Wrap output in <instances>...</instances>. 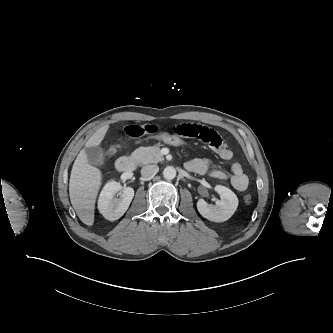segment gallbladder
I'll return each mask as SVG.
<instances>
[{"mask_svg":"<svg viewBox=\"0 0 333 333\" xmlns=\"http://www.w3.org/2000/svg\"><path fill=\"white\" fill-rule=\"evenodd\" d=\"M88 161L94 166L103 167L106 165V160L103 150L98 146L85 148Z\"/></svg>","mask_w":333,"mask_h":333,"instance_id":"gallbladder-1","label":"gallbladder"}]
</instances>
